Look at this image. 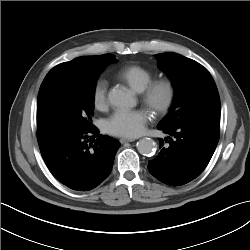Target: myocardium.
Instances as JSON below:
<instances>
[{
	"instance_id": "f54148a6",
	"label": "myocardium",
	"mask_w": 250,
	"mask_h": 250,
	"mask_svg": "<svg viewBox=\"0 0 250 250\" xmlns=\"http://www.w3.org/2000/svg\"><path fill=\"white\" fill-rule=\"evenodd\" d=\"M143 103L155 114L161 116L173 107L177 88L175 83L166 78L151 81L141 92Z\"/></svg>"
}]
</instances>
